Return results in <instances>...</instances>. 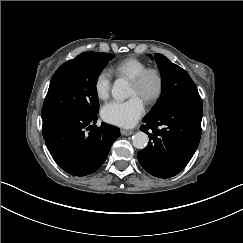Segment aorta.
I'll use <instances>...</instances> for the list:
<instances>
[{"mask_svg": "<svg viewBox=\"0 0 243 243\" xmlns=\"http://www.w3.org/2000/svg\"><path fill=\"white\" fill-rule=\"evenodd\" d=\"M111 95L114 99L122 101L133 95V90L128 81L124 78L116 79L112 88ZM149 137L143 132H137L132 136V145L136 149H143L147 146Z\"/></svg>", "mask_w": 243, "mask_h": 243, "instance_id": "762f6f07", "label": "aorta"}]
</instances>
